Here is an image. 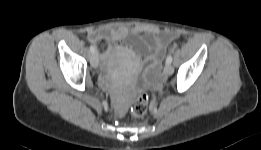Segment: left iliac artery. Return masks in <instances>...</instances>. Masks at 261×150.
Segmentation results:
<instances>
[{"label": "left iliac artery", "instance_id": "left-iliac-artery-1", "mask_svg": "<svg viewBox=\"0 0 261 150\" xmlns=\"http://www.w3.org/2000/svg\"><path fill=\"white\" fill-rule=\"evenodd\" d=\"M171 62H172V56L168 55L166 58V63L171 64Z\"/></svg>", "mask_w": 261, "mask_h": 150}]
</instances>
